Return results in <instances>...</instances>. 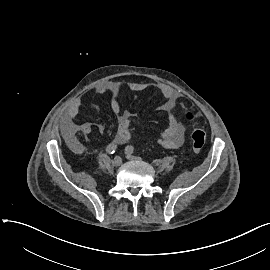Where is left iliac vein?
Instances as JSON below:
<instances>
[{
    "label": "left iliac vein",
    "instance_id": "1",
    "mask_svg": "<svg viewBox=\"0 0 270 270\" xmlns=\"http://www.w3.org/2000/svg\"><path fill=\"white\" fill-rule=\"evenodd\" d=\"M126 158L129 160H136L137 159V157L131 155L130 153H126Z\"/></svg>",
    "mask_w": 270,
    "mask_h": 270
}]
</instances>
